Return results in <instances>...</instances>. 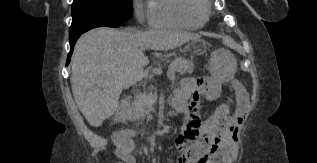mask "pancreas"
<instances>
[{
    "instance_id": "cf45deb5",
    "label": "pancreas",
    "mask_w": 317,
    "mask_h": 163,
    "mask_svg": "<svg viewBox=\"0 0 317 163\" xmlns=\"http://www.w3.org/2000/svg\"><path fill=\"white\" fill-rule=\"evenodd\" d=\"M195 65L192 61L183 57H177L170 64L169 69L178 71L181 74H191ZM157 96L152 92H143L134 98V101L130 105L125 119L137 124L141 123L145 118L147 121L152 119L151 112H154V105L156 104Z\"/></svg>"
}]
</instances>
